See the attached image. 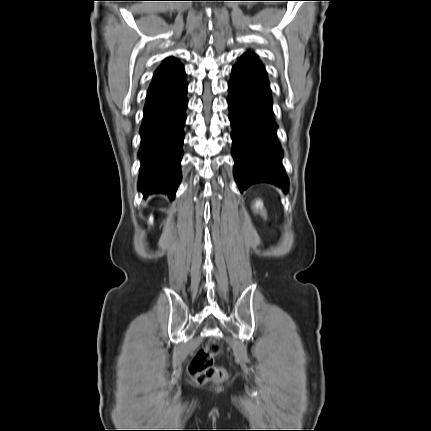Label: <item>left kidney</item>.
<instances>
[{
	"instance_id": "1",
	"label": "left kidney",
	"mask_w": 431,
	"mask_h": 431,
	"mask_svg": "<svg viewBox=\"0 0 431 431\" xmlns=\"http://www.w3.org/2000/svg\"><path fill=\"white\" fill-rule=\"evenodd\" d=\"M256 208H261L262 207V203L260 201H257L255 204Z\"/></svg>"
}]
</instances>
